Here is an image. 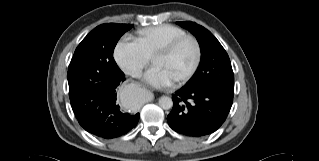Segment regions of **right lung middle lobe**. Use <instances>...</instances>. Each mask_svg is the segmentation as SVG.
I'll use <instances>...</instances> for the list:
<instances>
[{"label": "right lung middle lobe", "mask_w": 319, "mask_h": 161, "mask_svg": "<svg viewBox=\"0 0 319 161\" xmlns=\"http://www.w3.org/2000/svg\"><path fill=\"white\" fill-rule=\"evenodd\" d=\"M132 27L130 24H102L82 40L68 67L70 100L120 72L113 51L120 37Z\"/></svg>", "instance_id": "dd1d6c3e"}]
</instances>
